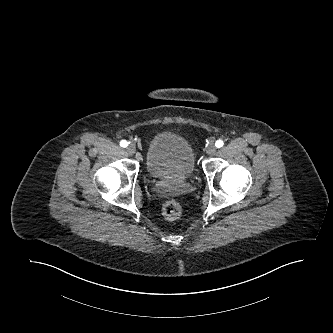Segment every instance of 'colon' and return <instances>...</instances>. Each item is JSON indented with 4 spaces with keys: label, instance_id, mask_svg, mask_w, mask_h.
Here are the masks:
<instances>
[{
    "label": "colon",
    "instance_id": "1",
    "mask_svg": "<svg viewBox=\"0 0 333 333\" xmlns=\"http://www.w3.org/2000/svg\"><path fill=\"white\" fill-rule=\"evenodd\" d=\"M163 215L169 220H177L182 214L181 206L175 201H167L162 207Z\"/></svg>",
    "mask_w": 333,
    "mask_h": 333
}]
</instances>
